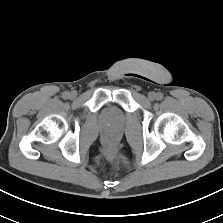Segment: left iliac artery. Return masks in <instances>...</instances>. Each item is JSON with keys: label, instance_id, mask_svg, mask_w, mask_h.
<instances>
[{"label": "left iliac artery", "instance_id": "1", "mask_svg": "<svg viewBox=\"0 0 223 223\" xmlns=\"http://www.w3.org/2000/svg\"><path fill=\"white\" fill-rule=\"evenodd\" d=\"M162 98H163V94L160 93V92H158V93L156 94V99H157V100H161Z\"/></svg>", "mask_w": 223, "mask_h": 223}]
</instances>
